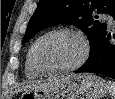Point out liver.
<instances>
[{"label": "liver", "instance_id": "1", "mask_svg": "<svg viewBox=\"0 0 115 99\" xmlns=\"http://www.w3.org/2000/svg\"><path fill=\"white\" fill-rule=\"evenodd\" d=\"M66 76H61L58 78H55L53 81L47 82V83H35V84H30L26 87V90H33V89H40V88H44L46 86L55 84L57 82H59L60 80H62L63 78H65Z\"/></svg>", "mask_w": 115, "mask_h": 99}]
</instances>
